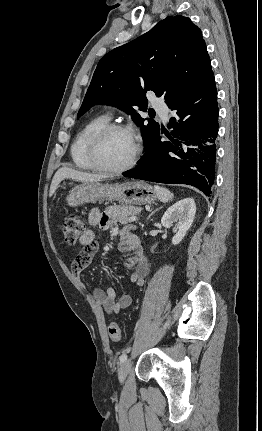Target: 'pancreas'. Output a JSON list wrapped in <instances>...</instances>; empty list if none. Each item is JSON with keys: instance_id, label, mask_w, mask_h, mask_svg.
<instances>
[{"instance_id": "cf45deb5", "label": "pancreas", "mask_w": 262, "mask_h": 431, "mask_svg": "<svg viewBox=\"0 0 262 431\" xmlns=\"http://www.w3.org/2000/svg\"><path fill=\"white\" fill-rule=\"evenodd\" d=\"M140 208L127 205L109 206L107 211L112 217L116 218L121 224H127L131 216L140 212Z\"/></svg>"}]
</instances>
